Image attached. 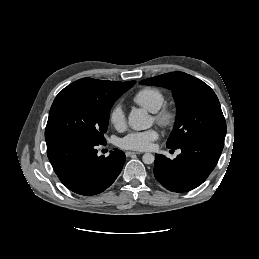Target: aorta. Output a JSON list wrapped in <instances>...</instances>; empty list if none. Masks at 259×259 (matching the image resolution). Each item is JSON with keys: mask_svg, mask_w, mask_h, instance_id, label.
Returning <instances> with one entry per match:
<instances>
[{"mask_svg": "<svg viewBox=\"0 0 259 259\" xmlns=\"http://www.w3.org/2000/svg\"><path fill=\"white\" fill-rule=\"evenodd\" d=\"M129 126L134 130H145L152 126L153 119L144 109H133L128 116ZM155 157L151 153H145L142 161L145 164L154 163Z\"/></svg>", "mask_w": 259, "mask_h": 259, "instance_id": "obj_1", "label": "aorta"}]
</instances>
